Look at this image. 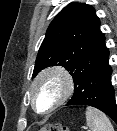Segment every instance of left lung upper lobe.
<instances>
[{
  "label": "left lung upper lobe",
  "mask_w": 117,
  "mask_h": 131,
  "mask_svg": "<svg viewBox=\"0 0 117 131\" xmlns=\"http://www.w3.org/2000/svg\"><path fill=\"white\" fill-rule=\"evenodd\" d=\"M107 51L94 8L84 3H70L49 25L36 58L33 77L46 67L61 65L72 75L76 89Z\"/></svg>",
  "instance_id": "1"
}]
</instances>
